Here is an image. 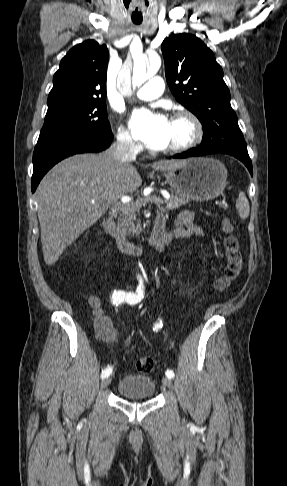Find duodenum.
Returning <instances> with one entry per match:
<instances>
[{"instance_id":"obj_1","label":"duodenum","mask_w":287,"mask_h":486,"mask_svg":"<svg viewBox=\"0 0 287 486\" xmlns=\"http://www.w3.org/2000/svg\"><path fill=\"white\" fill-rule=\"evenodd\" d=\"M166 218L163 214L156 216L152 233L149 239L150 245L158 247L165 237ZM104 228L106 232L116 241L118 248L127 254L140 255L143 251L142 247L134 244L119 230L112 217H108L104 221Z\"/></svg>"}]
</instances>
